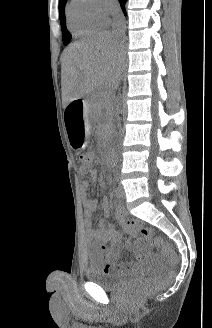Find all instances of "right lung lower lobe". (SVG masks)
Masks as SVG:
<instances>
[{"label": "right lung lower lobe", "mask_w": 212, "mask_h": 328, "mask_svg": "<svg viewBox=\"0 0 212 328\" xmlns=\"http://www.w3.org/2000/svg\"><path fill=\"white\" fill-rule=\"evenodd\" d=\"M119 2H120L121 8H122L124 14L126 15V11H125L126 0H119Z\"/></svg>", "instance_id": "98d812e1"}]
</instances>
